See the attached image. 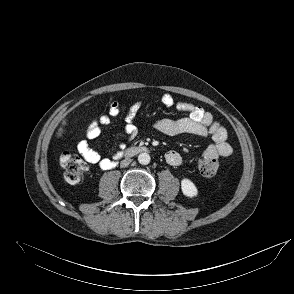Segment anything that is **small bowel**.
I'll use <instances>...</instances> for the list:
<instances>
[{"instance_id":"obj_1","label":"small bowel","mask_w":294,"mask_h":294,"mask_svg":"<svg viewBox=\"0 0 294 294\" xmlns=\"http://www.w3.org/2000/svg\"><path fill=\"white\" fill-rule=\"evenodd\" d=\"M161 102L166 107H173L178 111L187 113V116L178 120L168 118L160 119L154 124V128L165 135L176 136L181 134H192L197 136H210L212 144H210L201 156H209L213 158H226L231 155L232 148L227 142L226 129L217 122L213 115L205 111L202 107L188 103L176 102L169 93L161 96ZM142 106V102L134 103L125 115L124 131L133 139L137 134V127L134 119ZM119 115V104L112 102L108 113L102 114L90 122L86 129L87 139L81 140L77 149L83 158L92 164H97L103 170L114 168L124 152V145H120L118 151L110 158L103 157L95 150L89 140L96 139L101 134V126L109 125L113 119ZM166 162L171 166H179L183 163L182 155L170 150L165 155Z\"/></svg>"}]
</instances>
